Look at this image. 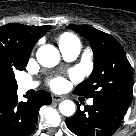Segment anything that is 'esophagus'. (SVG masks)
<instances>
[{
	"instance_id": "34e87169",
	"label": "esophagus",
	"mask_w": 136,
	"mask_h": 136,
	"mask_svg": "<svg viewBox=\"0 0 136 136\" xmlns=\"http://www.w3.org/2000/svg\"><path fill=\"white\" fill-rule=\"evenodd\" d=\"M64 98L62 96H58V95H52V100L54 102H60L62 101Z\"/></svg>"
}]
</instances>
